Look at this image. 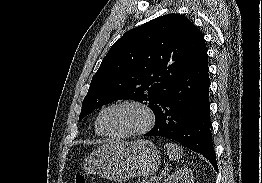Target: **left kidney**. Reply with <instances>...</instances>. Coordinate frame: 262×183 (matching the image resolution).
<instances>
[{"label": "left kidney", "mask_w": 262, "mask_h": 183, "mask_svg": "<svg viewBox=\"0 0 262 183\" xmlns=\"http://www.w3.org/2000/svg\"><path fill=\"white\" fill-rule=\"evenodd\" d=\"M194 177L190 168H181L172 173L164 183H194Z\"/></svg>", "instance_id": "1"}]
</instances>
